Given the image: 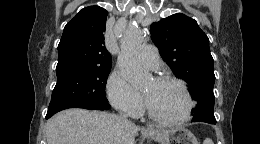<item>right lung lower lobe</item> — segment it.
<instances>
[{"label": "right lung lower lobe", "mask_w": 260, "mask_h": 144, "mask_svg": "<svg viewBox=\"0 0 260 144\" xmlns=\"http://www.w3.org/2000/svg\"><path fill=\"white\" fill-rule=\"evenodd\" d=\"M109 108H110V105L108 103H103V104H97V105L87 107L86 109H89V110H107ZM53 115L54 114L46 115V119L50 118Z\"/></svg>", "instance_id": "obj_1"}]
</instances>
